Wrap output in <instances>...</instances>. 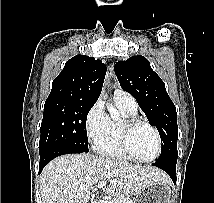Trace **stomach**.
Segmentation results:
<instances>
[{
  "instance_id": "0dacf381",
  "label": "stomach",
  "mask_w": 214,
  "mask_h": 203,
  "mask_svg": "<svg viewBox=\"0 0 214 203\" xmlns=\"http://www.w3.org/2000/svg\"><path fill=\"white\" fill-rule=\"evenodd\" d=\"M171 193L166 181H154L137 194L135 203H172Z\"/></svg>"
}]
</instances>
